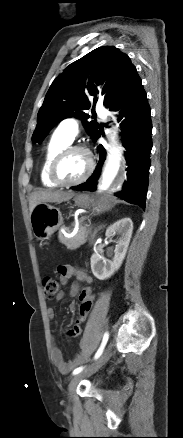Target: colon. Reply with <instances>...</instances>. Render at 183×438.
<instances>
[{
  "label": "colon",
  "instance_id": "1",
  "mask_svg": "<svg viewBox=\"0 0 183 438\" xmlns=\"http://www.w3.org/2000/svg\"><path fill=\"white\" fill-rule=\"evenodd\" d=\"M43 287H44L45 298L47 300H53L59 294L60 285L55 279H53L51 277H46L44 279ZM93 302H94V295L93 294L82 295V297L80 298L78 312H79V319H80L81 323H84L87 320L88 315L92 309Z\"/></svg>",
  "mask_w": 183,
  "mask_h": 438
}]
</instances>
